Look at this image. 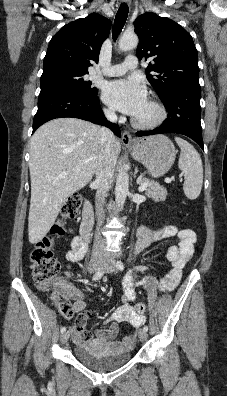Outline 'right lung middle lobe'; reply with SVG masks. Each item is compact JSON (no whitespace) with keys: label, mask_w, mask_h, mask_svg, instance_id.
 Returning <instances> with one entry per match:
<instances>
[{"label":"right lung middle lobe","mask_w":227,"mask_h":396,"mask_svg":"<svg viewBox=\"0 0 227 396\" xmlns=\"http://www.w3.org/2000/svg\"><path fill=\"white\" fill-rule=\"evenodd\" d=\"M88 71L75 70L70 68H53L44 70L41 76V92L51 89H68L70 91L94 96L97 88L91 86V81L84 77Z\"/></svg>","instance_id":"dd1d6c3e"}]
</instances>
